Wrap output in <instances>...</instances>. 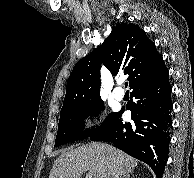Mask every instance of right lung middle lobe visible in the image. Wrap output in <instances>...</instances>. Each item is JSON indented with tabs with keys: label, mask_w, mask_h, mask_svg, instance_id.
<instances>
[{
	"label": "right lung middle lobe",
	"mask_w": 194,
	"mask_h": 178,
	"mask_svg": "<svg viewBox=\"0 0 194 178\" xmlns=\"http://www.w3.org/2000/svg\"><path fill=\"white\" fill-rule=\"evenodd\" d=\"M103 109L104 103L101 98H99L81 108L61 113L55 147L71 141L87 138L93 134L96 128H92L90 131H83L84 120L89 116L98 114L99 111ZM111 114L108 115V118Z\"/></svg>",
	"instance_id": "dd1d6c3e"
}]
</instances>
